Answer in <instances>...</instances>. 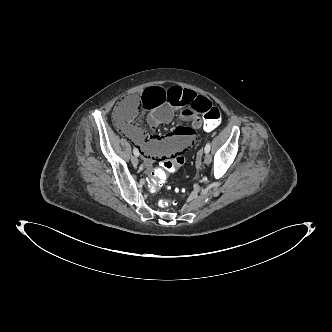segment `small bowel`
<instances>
[{"mask_svg": "<svg viewBox=\"0 0 332 332\" xmlns=\"http://www.w3.org/2000/svg\"><path fill=\"white\" fill-rule=\"evenodd\" d=\"M143 107L149 112L147 121L151 129L171 121L176 111H180L183 121L176 125L172 133L163 135L147 134L140 126L129 124L116 125L120 132L128 137L142 151L148 166L156 161L175 159L197 140L196 129L202 128L200 114H203L212 102L195 91L180 86L168 89L161 84L149 85L142 94Z\"/></svg>", "mask_w": 332, "mask_h": 332, "instance_id": "c3829d8e", "label": "small bowel"}]
</instances>
